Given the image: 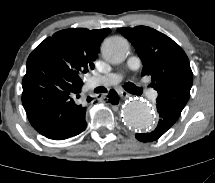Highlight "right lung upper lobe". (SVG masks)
Returning a JSON list of instances; mask_svg holds the SVG:
<instances>
[{
  "mask_svg": "<svg viewBox=\"0 0 215 183\" xmlns=\"http://www.w3.org/2000/svg\"><path fill=\"white\" fill-rule=\"evenodd\" d=\"M109 32L108 28L62 30L46 38L31 54L39 56L45 69L50 71L63 69L66 63L64 55L68 53L80 55L87 66L93 69L100 44Z\"/></svg>",
  "mask_w": 215,
  "mask_h": 183,
  "instance_id": "cb5924a9",
  "label": "right lung upper lobe"
}]
</instances>
